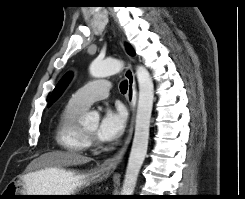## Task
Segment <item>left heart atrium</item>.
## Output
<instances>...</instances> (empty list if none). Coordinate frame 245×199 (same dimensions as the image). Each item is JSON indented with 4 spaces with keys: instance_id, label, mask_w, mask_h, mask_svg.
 <instances>
[{
    "instance_id": "left-heart-atrium-1",
    "label": "left heart atrium",
    "mask_w": 245,
    "mask_h": 199,
    "mask_svg": "<svg viewBox=\"0 0 245 199\" xmlns=\"http://www.w3.org/2000/svg\"><path fill=\"white\" fill-rule=\"evenodd\" d=\"M126 113L122 107L106 108L98 124L96 136L105 142L117 140L124 132Z\"/></svg>"
}]
</instances>
